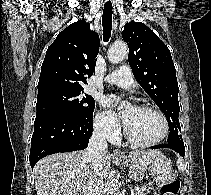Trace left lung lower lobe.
Here are the masks:
<instances>
[{
  "label": "left lung lower lobe",
  "instance_id": "obj_1",
  "mask_svg": "<svg viewBox=\"0 0 211 195\" xmlns=\"http://www.w3.org/2000/svg\"><path fill=\"white\" fill-rule=\"evenodd\" d=\"M159 148H170L178 152L182 157L185 156V147H184L183 139L170 141V142H167L166 144L152 147V149H159Z\"/></svg>",
  "mask_w": 211,
  "mask_h": 195
}]
</instances>
